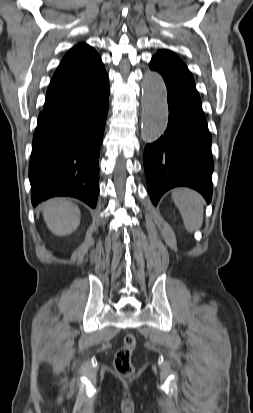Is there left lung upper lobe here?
Wrapping results in <instances>:
<instances>
[{
  "label": "left lung upper lobe",
  "mask_w": 253,
  "mask_h": 413,
  "mask_svg": "<svg viewBox=\"0 0 253 413\" xmlns=\"http://www.w3.org/2000/svg\"><path fill=\"white\" fill-rule=\"evenodd\" d=\"M155 57H160V58L172 61V62L184 64L174 53H172L168 50L158 51L157 54L155 55Z\"/></svg>",
  "instance_id": "obj_1"
}]
</instances>
